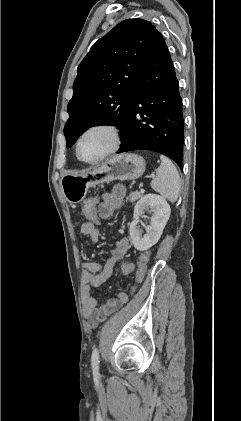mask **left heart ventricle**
I'll use <instances>...</instances> for the list:
<instances>
[{
	"label": "left heart ventricle",
	"instance_id": "b2bd125f",
	"mask_svg": "<svg viewBox=\"0 0 241 421\" xmlns=\"http://www.w3.org/2000/svg\"><path fill=\"white\" fill-rule=\"evenodd\" d=\"M110 135L102 130L87 134L81 141L79 152L85 160H93L103 154L110 146Z\"/></svg>",
	"mask_w": 241,
	"mask_h": 421
}]
</instances>
